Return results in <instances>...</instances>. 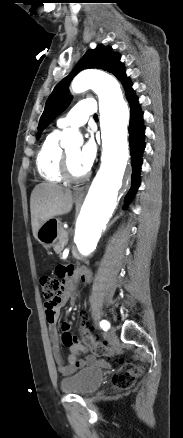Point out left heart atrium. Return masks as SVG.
<instances>
[{
  "label": "left heart atrium",
  "instance_id": "left-heart-atrium-1",
  "mask_svg": "<svg viewBox=\"0 0 183 438\" xmlns=\"http://www.w3.org/2000/svg\"><path fill=\"white\" fill-rule=\"evenodd\" d=\"M97 154V144L94 139H89L79 153V160L86 171H89Z\"/></svg>",
  "mask_w": 183,
  "mask_h": 438
}]
</instances>
